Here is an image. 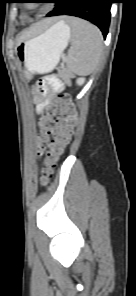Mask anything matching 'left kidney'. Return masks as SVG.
Segmentation results:
<instances>
[{
    "mask_svg": "<svg viewBox=\"0 0 136 296\" xmlns=\"http://www.w3.org/2000/svg\"><path fill=\"white\" fill-rule=\"evenodd\" d=\"M84 82H85V78H78V79L76 80V83H77L78 85H82V84H84Z\"/></svg>",
    "mask_w": 136,
    "mask_h": 296,
    "instance_id": "left-kidney-1",
    "label": "left kidney"
}]
</instances>
